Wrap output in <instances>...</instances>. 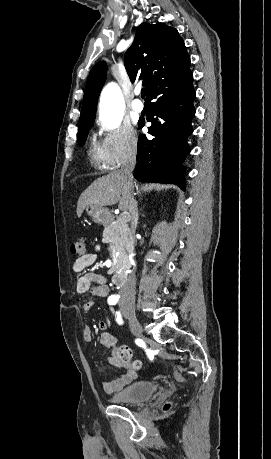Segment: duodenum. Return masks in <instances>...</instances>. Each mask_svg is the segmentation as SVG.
Here are the masks:
<instances>
[{
	"label": "duodenum",
	"mask_w": 271,
	"mask_h": 459,
	"mask_svg": "<svg viewBox=\"0 0 271 459\" xmlns=\"http://www.w3.org/2000/svg\"><path fill=\"white\" fill-rule=\"evenodd\" d=\"M128 274L124 271H118L113 275V283L117 286H122L126 283Z\"/></svg>",
	"instance_id": "obj_1"
}]
</instances>
